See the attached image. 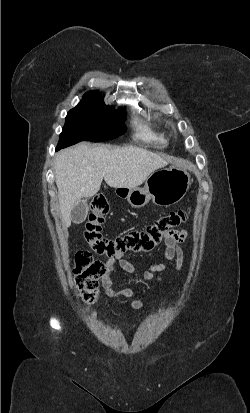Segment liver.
Instances as JSON below:
<instances>
[{
  "label": "liver",
  "mask_w": 250,
  "mask_h": 413,
  "mask_svg": "<svg viewBox=\"0 0 250 413\" xmlns=\"http://www.w3.org/2000/svg\"><path fill=\"white\" fill-rule=\"evenodd\" d=\"M174 161L135 146H92L81 143L64 149L55 157V182L58 188L62 223L71 225V211L82 198L94 196L102 180L113 188H135L156 170Z\"/></svg>",
  "instance_id": "obj_1"
}]
</instances>
